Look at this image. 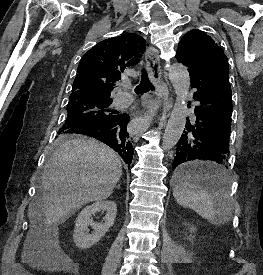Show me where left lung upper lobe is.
<instances>
[{"mask_svg":"<svg viewBox=\"0 0 263 275\" xmlns=\"http://www.w3.org/2000/svg\"><path fill=\"white\" fill-rule=\"evenodd\" d=\"M176 58L188 67L190 75L201 79L229 75L228 59L223 50L210 36L197 29L182 37Z\"/></svg>","mask_w":263,"mask_h":275,"instance_id":"5c2ea615","label":"left lung upper lobe"}]
</instances>
